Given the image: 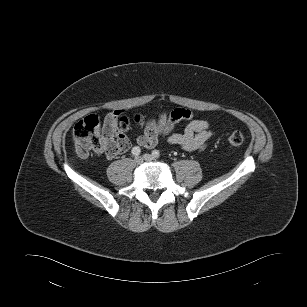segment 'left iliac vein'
<instances>
[{"instance_id":"1","label":"left iliac vein","mask_w":307,"mask_h":307,"mask_svg":"<svg viewBox=\"0 0 307 307\" xmlns=\"http://www.w3.org/2000/svg\"><path fill=\"white\" fill-rule=\"evenodd\" d=\"M143 158H144V160H146V161H153L155 158L152 156V155H150V154H144L143 155Z\"/></svg>"}]
</instances>
